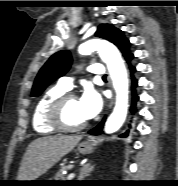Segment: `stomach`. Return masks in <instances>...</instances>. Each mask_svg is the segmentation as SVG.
I'll return each mask as SVG.
<instances>
[{"instance_id":"obj_1","label":"stomach","mask_w":178,"mask_h":186,"mask_svg":"<svg viewBox=\"0 0 178 186\" xmlns=\"http://www.w3.org/2000/svg\"><path fill=\"white\" fill-rule=\"evenodd\" d=\"M98 144L96 140L87 139L81 142L77 149L81 154H89L93 151L94 147ZM32 181H40V180H32ZM30 185H40L38 182H32Z\"/></svg>"}]
</instances>
